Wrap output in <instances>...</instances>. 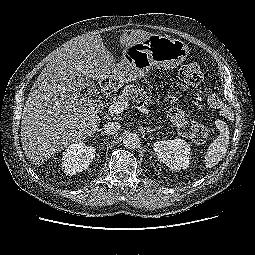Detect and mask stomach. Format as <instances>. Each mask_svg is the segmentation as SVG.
<instances>
[{
    "label": "stomach",
    "instance_id": "stomach-1",
    "mask_svg": "<svg viewBox=\"0 0 255 255\" xmlns=\"http://www.w3.org/2000/svg\"><path fill=\"white\" fill-rule=\"evenodd\" d=\"M189 54L188 45L169 36L151 34L144 41L127 45L122 60L109 77V85L119 88L144 77L154 66L169 70L182 64Z\"/></svg>",
    "mask_w": 255,
    "mask_h": 255
}]
</instances>
